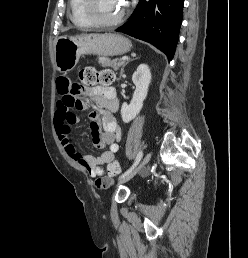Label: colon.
Instances as JSON below:
<instances>
[{"label": "colon", "instance_id": "1", "mask_svg": "<svg viewBox=\"0 0 248 258\" xmlns=\"http://www.w3.org/2000/svg\"><path fill=\"white\" fill-rule=\"evenodd\" d=\"M114 79V75L110 70H96L95 68H85L80 73V84L71 87L72 94L79 96L82 87H92L97 85H109ZM120 165L117 161H113L108 169L109 177H116L120 173Z\"/></svg>", "mask_w": 248, "mask_h": 258}]
</instances>
